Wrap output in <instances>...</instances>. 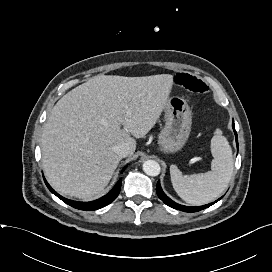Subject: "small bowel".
Segmentation results:
<instances>
[{
    "instance_id": "1",
    "label": "small bowel",
    "mask_w": 272,
    "mask_h": 272,
    "mask_svg": "<svg viewBox=\"0 0 272 272\" xmlns=\"http://www.w3.org/2000/svg\"><path fill=\"white\" fill-rule=\"evenodd\" d=\"M172 82L192 94L204 95L209 92V87L204 81L190 74L177 73L173 76Z\"/></svg>"
}]
</instances>
